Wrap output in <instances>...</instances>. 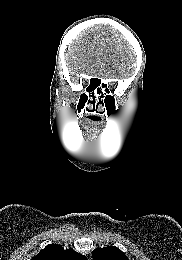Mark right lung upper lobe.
<instances>
[{
	"mask_svg": "<svg viewBox=\"0 0 182 260\" xmlns=\"http://www.w3.org/2000/svg\"><path fill=\"white\" fill-rule=\"evenodd\" d=\"M32 260H87V258L72 248L64 250L57 244H49Z\"/></svg>",
	"mask_w": 182,
	"mask_h": 260,
	"instance_id": "cb5924a9",
	"label": "right lung upper lobe"
}]
</instances>
